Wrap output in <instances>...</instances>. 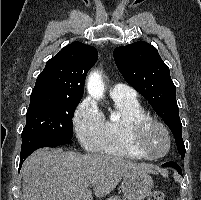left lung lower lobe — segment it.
Here are the masks:
<instances>
[{
	"label": "left lung lower lobe",
	"instance_id": "left-lung-lower-lobe-1",
	"mask_svg": "<svg viewBox=\"0 0 201 200\" xmlns=\"http://www.w3.org/2000/svg\"><path fill=\"white\" fill-rule=\"evenodd\" d=\"M162 166L173 167V168H175V169L177 170V172H178L179 174L182 175V170H181L180 166H179L178 164H176L175 162H173V161L164 163Z\"/></svg>",
	"mask_w": 201,
	"mask_h": 200
}]
</instances>
